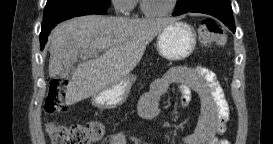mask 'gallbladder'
<instances>
[{"label": "gallbladder", "mask_w": 273, "mask_h": 144, "mask_svg": "<svg viewBox=\"0 0 273 144\" xmlns=\"http://www.w3.org/2000/svg\"><path fill=\"white\" fill-rule=\"evenodd\" d=\"M74 65H67V69L59 76L60 80H69L70 76L75 72Z\"/></svg>", "instance_id": "bac80fb5"}]
</instances>
